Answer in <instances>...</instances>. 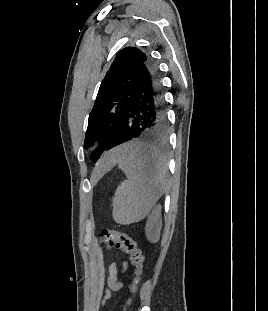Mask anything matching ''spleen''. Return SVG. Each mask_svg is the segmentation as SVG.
I'll return each mask as SVG.
<instances>
[{
	"label": "spleen",
	"mask_w": 268,
	"mask_h": 311,
	"mask_svg": "<svg viewBox=\"0 0 268 311\" xmlns=\"http://www.w3.org/2000/svg\"><path fill=\"white\" fill-rule=\"evenodd\" d=\"M114 159L127 176L112 198L115 222L129 225L144 219L167 188L168 164L145 140L116 144Z\"/></svg>",
	"instance_id": "spleen-1"
}]
</instances>
